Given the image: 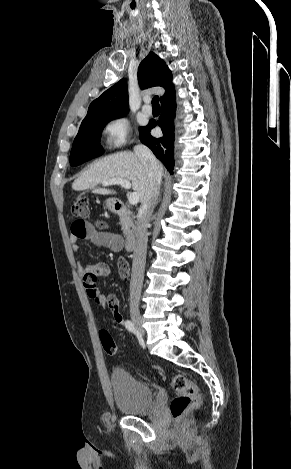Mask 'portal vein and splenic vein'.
I'll return each mask as SVG.
<instances>
[{
    "mask_svg": "<svg viewBox=\"0 0 291 469\" xmlns=\"http://www.w3.org/2000/svg\"><path fill=\"white\" fill-rule=\"evenodd\" d=\"M102 184L103 186L119 184L126 189L131 188L130 181L126 179H111V180L104 181ZM128 201H129V204L136 205L139 202V194L137 192L131 193L128 197Z\"/></svg>",
    "mask_w": 291,
    "mask_h": 469,
    "instance_id": "portal-vein-and-splenic-vein-1",
    "label": "portal vein and splenic vein"
}]
</instances>
